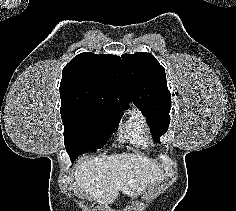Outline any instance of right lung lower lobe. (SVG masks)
<instances>
[{
  "label": "right lung lower lobe",
  "mask_w": 236,
  "mask_h": 211,
  "mask_svg": "<svg viewBox=\"0 0 236 211\" xmlns=\"http://www.w3.org/2000/svg\"><path fill=\"white\" fill-rule=\"evenodd\" d=\"M76 158H77V157H76ZM76 158L71 159V161L73 162Z\"/></svg>",
  "instance_id": "98d812e1"
}]
</instances>
